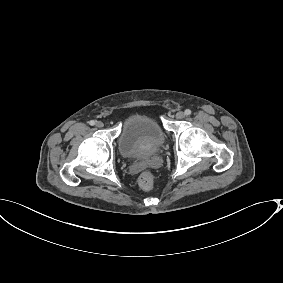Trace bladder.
Returning a JSON list of instances; mask_svg holds the SVG:
<instances>
[{"mask_svg":"<svg viewBox=\"0 0 283 283\" xmlns=\"http://www.w3.org/2000/svg\"><path fill=\"white\" fill-rule=\"evenodd\" d=\"M166 142V132L151 115L133 113L122 124L117 149L124 156L153 154Z\"/></svg>","mask_w":283,"mask_h":283,"instance_id":"31cf9c89","label":"bladder"}]
</instances>
